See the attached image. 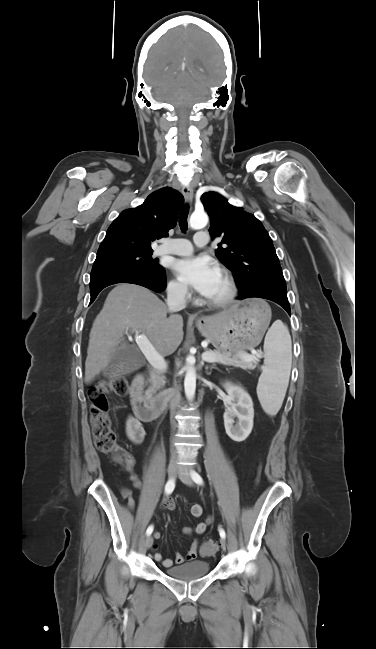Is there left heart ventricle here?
Instances as JSON below:
<instances>
[{
	"label": "left heart ventricle",
	"instance_id": "1",
	"mask_svg": "<svg viewBox=\"0 0 376 649\" xmlns=\"http://www.w3.org/2000/svg\"><path fill=\"white\" fill-rule=\"evenodd\" d=\"M226 292H227V283L224 277L220 274L216 282L214 283L211 291L206 297L208 299H213V300L219 299L222 296H224Z\"/></svg>",
	"mask_w": 376,
	"mask_h": 649
}]
</instances>
